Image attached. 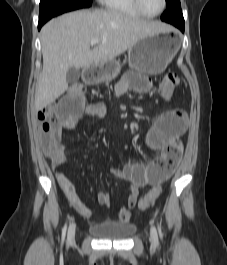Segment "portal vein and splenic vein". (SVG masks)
Returning a JSON list of instances; mask_svg holds the SVG:
<instances>
[{"mask_svg":"<svg viewBox=\"0 0 227 265\" xmlns=\"http://www.w3.org/2000/svg\"><path fill=\"white\" fill-rule=\"evenodd\" d=\"M100 43V39L98 38H93L90 42L91 45H95V44H99Z\"/></svg>","mask_w":227,"mask_h":265,"instance_id":"obj_1","label":"portal vein and splenic vein"}]
</instances>
